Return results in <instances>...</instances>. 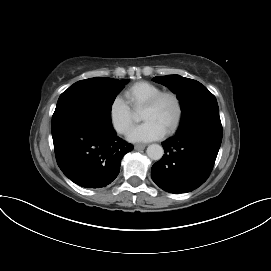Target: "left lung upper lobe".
<instances>
[{
  "label": "left lung upper lobe",
  "mask_w": 271,
  "mask_h": 271,
  "mask_svg": "<svg viewBox=\"0 0 271 271\" xmlns=\"http://www.w3.org/2000/svg\"><path fill=\"white\" fill-rule=\"evenodd\" d=\"M153 81L167 86L177 95L182 110L181 125L196 118L219 116L215 96L198 81L179 75L156 76Z\"/></svg>",
  "instance_id": "1"
}]
</instances>
